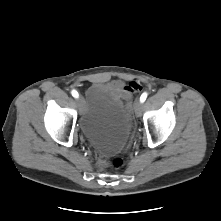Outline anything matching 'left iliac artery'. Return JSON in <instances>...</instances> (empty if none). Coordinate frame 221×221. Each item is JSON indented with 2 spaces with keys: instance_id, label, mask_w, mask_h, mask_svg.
Segmentation results:
<instances>
[{
  "instance_id": "1",
  "label": "left iliac artery",
  "mask_w": 221,
  "mask_h": 221,
  "mask_svg": "<svg viewBox=\"0 0 221 221\" xmlns=\"http://www.w3.org/2000/svg\"><path fill=\"white\" fill-rule=\"evenodd\" d=\"M146 98H147V93L144 92V93L141 95V97H140V101H141V102H144V101L146 100Z\"/></svg>"
}]
</instances>
